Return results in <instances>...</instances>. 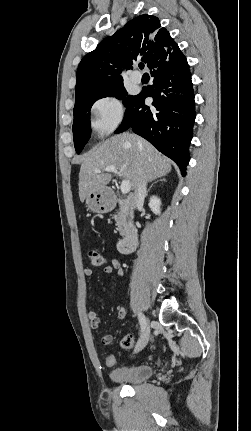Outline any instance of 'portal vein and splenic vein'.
Returning <instances> with one entry per match:
<instances>
[{"instance_id": "obj_1", "label": "portal vein and splenic vein", "mask_w": 251, "mask_h": 431, "mask_svg": "<svg viewBox=\"0 0 251 431\" xmlns=\"http://www.w3.org/2000/svg\"><path fill=\"white\" fill-rule=\"evenodd\" d=\"M102 171L112 172V173H114V174H116V175H119V176L121 175V174H120V172H118V170L116 169V167H115V166H108V167L104 168ZM95 172H96V173H100V172H101V170L96 169V170H95ZM120 189H121L122 194H127V193H129V192H130V190H131V184H130V181H129V180H123V181L121 182Z\"/></svg>"}]
</instances>
